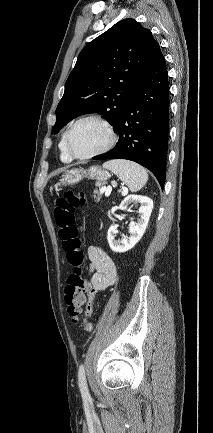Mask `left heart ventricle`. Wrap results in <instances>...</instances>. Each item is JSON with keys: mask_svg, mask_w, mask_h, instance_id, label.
<instances>
[{"mask_svg": "<svg viewBox=\"0 0 213 433\" xmlns=\"http://www.w3.org/2000/svg\"><path fill=\"white\" fill-rule=\"evenodd\" d=\"M108 140L105 128L95 121H85L71 134V148L77 155H88L101 149Z\"/></svg>", "mask_w": 213, "mask_h": 433, "instance_id": "obj_1", "label": "left heart ventricle"}]
</instances>
